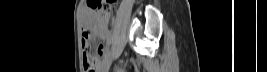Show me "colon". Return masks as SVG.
<instances>
[{
    "label": "colon",
    "mask_w": 267,
    "mask_h": 72,
    "mask_svg": "<svg viewBox=\"0 0 267 72\" xmlns=\"http://www.w3.org/2000/svg\"><path fill=\"white\" fill-rule=\"evenodd\" d=\"M115 0H89V7L98 13H100L104 18H108L111 14V6ZM90 44L83 47V58L85 62L83 63L85 72H93L97 65V57L92 55L89 50Z\"/></svg>",
    "instance_id": "1"
}]
</instances>
